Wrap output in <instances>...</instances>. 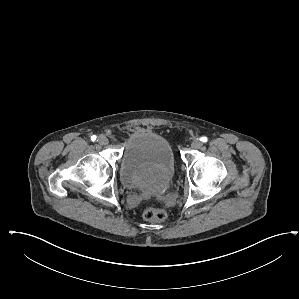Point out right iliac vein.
<instances>
[{"mask_svg": "<svg viewBox=\"0 0 299 299\" xmlns=\"http://www.w3.org/2000/svg\"><path fill=\"white\" fill-rule=\"evenodd\" d=\"M97 141H98V143L100 144V145H106V144H108V138L105 136V135H100L99 137H98V139H97Z\"/></svg>", "mask_w": 299, "mask_h": 299, "instance_id": "obj_1", "label": "right iliac vein"}]
</instances>
